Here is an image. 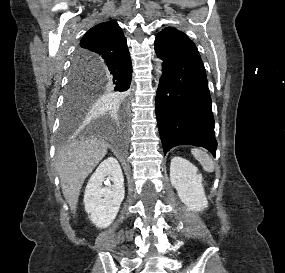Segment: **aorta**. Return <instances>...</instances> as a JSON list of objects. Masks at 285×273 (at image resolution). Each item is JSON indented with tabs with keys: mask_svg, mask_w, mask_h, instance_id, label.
<instances>
[{
	"mask_svg": "<svg viewBox=\"0 0 285 273\" xmlns=\"http://www.w3.org/2000/svg\"><path fill=\"white\" fill-rule=\"evenodd\" d=\"M160 70H161V66H160V65H158V67H157V71H158V72H160Z\"/></svg>",
	"mask_w": 285,
	"mask_h": 273,
	"instance_id": "obj_1",
	"label": "aorta"
}]
</instances>
